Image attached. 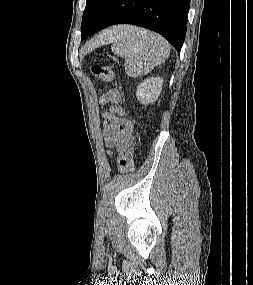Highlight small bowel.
Returning <instances> with one entry per match:
<instances>
[{
  "label": "small bowel",
  "instance_id": "small-bowel-1",
  "mask_svg": "<svg viewBox=\"0 0 253 285\" xmlns=\"http://www.w3.org/2000/svg\"><path fill=\"white\" fill-rule=\"evenodd\" d=\"M120 98L119 91L112 89L101 97V103L117 102ZM103 121L107 147L120 151L128 141L133 124L129 120L118 118L113 112L105 113Z\"/></svg>",
  "mask_w": 253,
  "mask_h": 285
}]
</instances>
